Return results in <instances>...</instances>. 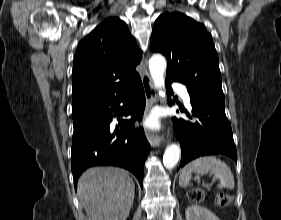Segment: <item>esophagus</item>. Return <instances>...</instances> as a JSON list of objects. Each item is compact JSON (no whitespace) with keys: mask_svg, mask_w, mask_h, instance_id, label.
<instances>
[{"mask_svg":"<svg viewBox=\"0 0 281 220\" xmlns=\"http://www.w3.org/2000/svg\"><path fill=\"white\" fill-rule=\"evenodd\" d=\"M142 83L146 97V112H148L152 108V106H154L157 102V93L153 85L152 79L147 71H145L142 77ZM146 136L148 142L153 147H158L162 142V136L160 134L147 131Z\"/></svg>","mask_w":281,"mask_h":220,"instance_id":"obj_1","label":"esophagus"}]
</instances>
